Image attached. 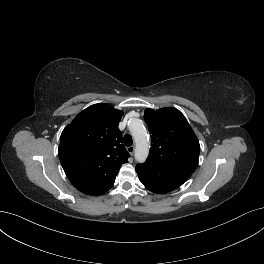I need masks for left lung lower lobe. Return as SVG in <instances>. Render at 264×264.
I'll use <instances>...</instances> for the list:
<instances>
[{
    "label": "left lung lower lobe",
    "instance_id": "1",
    "mask_svg": "<svg viewBox=\"0 0 264 264\" xmlns=\"http://www.w3.org/2000/svg\"><path fill=\"white\" fill-rule=\"evenodd\" d=\"M141 183L155 193H166L182 185L185 181L166 174L158 165L145 162L136 166Z\"/></svg>",
    "mask_w": 264,
    "mask_h": 264
}]
</instances>
